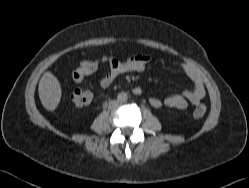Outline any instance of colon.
Wrapping results in <instances>:
<instances>
[{
	"label": "colon",
	"instance_id": "1",
	"mask_svg": "<svg viewBox=\"0 0 249 188\" xmlns=\"http://www.w3.org/2000/svg\"><path fill=\"white\" fill-rule=\"evenodd\" d=\"M96 69V63L93 61L81 62L73 71L72 77L74 81H80L84 77L92 74ZM71 101L79 107L86 106L91 102L92 95L87 90L76 89L70 95ZM206 113V106L199 104L195 107L193 115L196 118H201Z\"/></svg>",
	"mask_w": 249,
	"mask_h": 188
}]
</instances>
